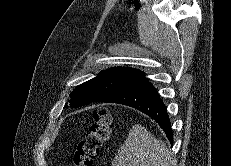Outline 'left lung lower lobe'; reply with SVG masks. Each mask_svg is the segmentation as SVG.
Segmentation results:
<instances>
[{
	"label": "left lung lower lobe",
	"mask_w": 231,
	"mask_h": 166,
	"mask_svg": "<svg viewBox=\"0 0 231 166\" xmlns=\"http://www.w3.org/2000/svg\"><path fill=\"white\" fill-rule=\"evenodd\" d=\"M94 102L123 104L143 112L157 122L170 142H173V132L166 107L155 87L145 77L144 72H139Z\"/></svg>",
	"instance_id": "obj_1"
}]
</instances>
